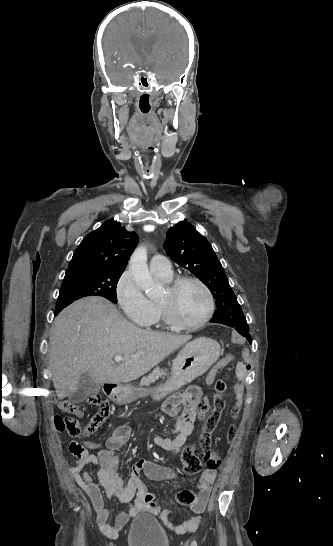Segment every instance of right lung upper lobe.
<instances>
[{"mask_svg":"<svg viewBox=\"0 0 333 546\" xmlns=\"http://www.w3.org/2000/svg\"><path fill=\"white\" fill-rule=\"evenodd\" d=\"M138 240L135 232L127 231L118 222L106 221L82 240L66 274L98 269L125 270Z\"/></svg>","mask_w":333,"mask_h":546,"instance_id":"obj_1","label":"right lung upper lobe"}]
</instances>
